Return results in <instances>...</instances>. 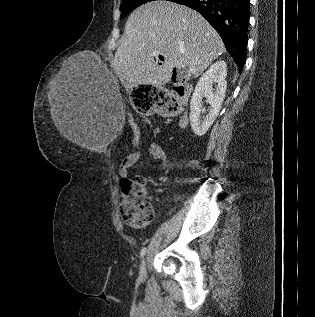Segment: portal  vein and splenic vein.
I'll use <instances>...</instances> for the list:
<instances>
[{
    "label": "portal vein and splenic vein",
    "mask_w": 315,
    "mask_h": 317,
    "mask_svg": "<svg viewBox=\"0 0 315 317\" xmlns=\"http://www.w3.org/2000/svg\"><path fill=\"white\" fill-rule=\"evenodd\" d=\"M154 55H156V53H154ZM195 70H196V69H195L194 67H191V68H189L188 72H189V73H194Z\"/></svg>",
    "instance_id": "18ae733b"
}]
</instances>
